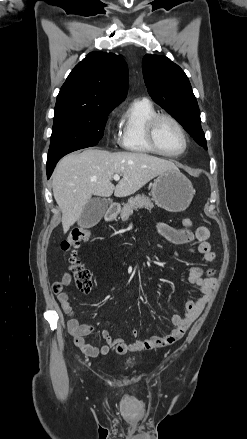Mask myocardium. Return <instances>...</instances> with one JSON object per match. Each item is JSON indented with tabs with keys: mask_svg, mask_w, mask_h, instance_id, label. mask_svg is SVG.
Segmentation results:
<instances>
[{
	"mask_svg": "<svg viewBox=\"0 0 247 439\" xmlns=\"http://www.w3.org/2000/svg\"><path fill=\"white\" fill-rule=\"evenodd\" d=\"M161 120H169L177 127V129L181 133L182 138H183V148L181 149V151H179L177 153H168V152L163 151L159 147L157 140H156V128H157L158 123ZM146 137H147V141H148L149 145L152 147V149L156 153H158L162 156H165V157L177 158V157L183 155L188 148L189 141H188V136H187V133H186L184 127L175 117H173L170 114L158 113L157 115L152 117L147 124Z\"/></svg>",
	"mask_w": 247,
	"mask_h": 439,
	"instance_id": "myocardium-1",
	"label": "myocardium"
}]
</instances>
